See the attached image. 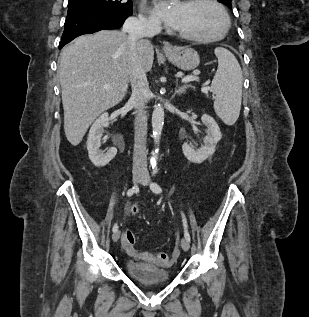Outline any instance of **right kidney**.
<instances>
[{
  "label": "right kidney",
  "mask_w": 309,
  "mask_h": 317,
  "mask_svg": "<svg viewBox=\"0 0 309 317\" xmlns=\"http://www.w3.org/2000/svg\"><path fill=\"white\" fill-rule=\"evenodd\" d=\"M108 125V113H104L93 123L88 134L87 150L89 159L97 167L106 166L117 154L115 147L110 148L106 153L100 150L103 128Z\"/></svg>",
  "instance_id": "right-kidney-1"
}]
</instances>
